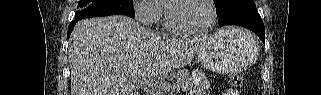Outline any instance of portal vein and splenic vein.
<instances>
[{"label": "portal vein and splenic vein", "instance_id": "portal-vein-and-splenic-vein-1", "mask_svg": "<svg viewBox=\"0 0 321 95\" xmlns=\"http://www.w3.org/2000/svg\"><path fill=\"white\" fill-rule=\"evenodd\" d=\"M142 83L147 84L148 86L152 87V88H163V89H167L166 84L164 82L161 81H154L152 82H148V80L143 81Z\"/></svg>", "mask_w": 321, "mask_h": 95}]
</instances>
